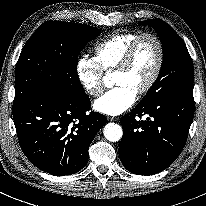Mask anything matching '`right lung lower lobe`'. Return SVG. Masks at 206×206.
<instances>
[{
	"label": "right lung lower lobe",
	"instance_id": "1",
	"mask_svg": "<svg viewBox=\"0 0 206 206\" xmlns=\"http://www.w3.org/2000/svg\"><path fill=\"white\" fill-rule=\"evenodd\" d=\"M90 105L86 94L45 91L13 106L19 144L30 162L57 176L81 170L88 162L90 143L107 123L102 114L86 113Z\"/></svg>",
	"mask_w": 206,
	"mask_h": 206
}]
</instances>
